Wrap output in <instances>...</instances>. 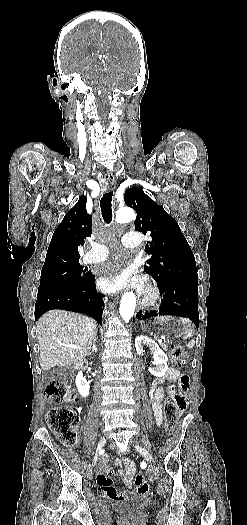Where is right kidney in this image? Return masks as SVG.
Returning a JSON list of instances; mask_svg holds the SVG:
<instances>
[{
  "label": "right kidney",
  "instance_id": "1",
  "mask_svg": "<svg viewBox=\"0 0 247 525\" xmlns=\"http://www.w3.org/2000/svg\"><path fill=\"white\" fill-rule=\"evenodd\" d=\"M75 385L81 397H88L89 391H90V385L89 383H87L85 377H83L82 371H79V373H77L76 379H75Z\"/></svg>",
  "mask_w": 247,
  "mask_h": 525
}]
</instances>
